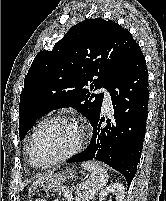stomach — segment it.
Wrapping results in <instances>:
<instances>
[{
  "label": "stomach",
  "mask_w": 166,
  "mask_h": 201,
  "mask_svg": "<svg viewBox=\"0 0 166 201\" xmlns=\"http://www.w3.org/2000/svg\"><path fill=\"white\" fill-rule=\"evenodd\" d=\"M74 177V172L72 171H66L62 174H57L53 177H50L44 188L50 192L57 191L62 188L63 182L66 180H71ZM38 201V200H36Z\"/></svg>",
  "instance_id": "stomach-1"
}]
</instances>
